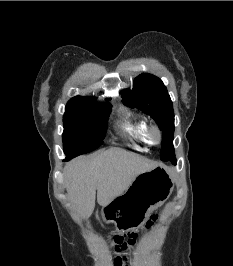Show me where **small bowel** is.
Here are the masks:
<instances>
[{
  "instance_id": "obj_1",
  "label": "small bowel",
  "mask_w": 233,
  "mask_h": 266,
  "mask_svg": "<svg viewBox=\"0 0 233 266\" xmlns=\"http://www.w3.org/2000/svg\"><path fill=\"white\" fill-rule=\"evenodd\" d=\"M120 258H122V257H117V258L115 259L114 264H115L116 266H121V265H122V263H123V258H122V259H120Z\"/></svg>"
}]
</instances>
